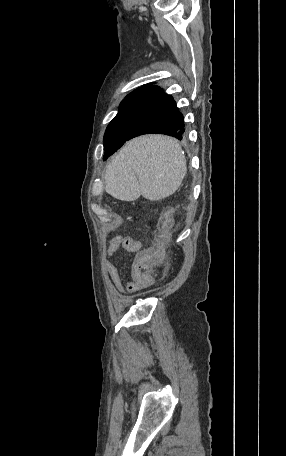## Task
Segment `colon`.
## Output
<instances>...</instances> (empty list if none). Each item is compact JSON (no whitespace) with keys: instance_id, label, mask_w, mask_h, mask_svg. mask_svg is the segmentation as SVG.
I'll return each instance as SVG.
<instances>
[{"instance_id":"obj_1","label":"colon","mask_w":286,"mask_h":456,"mask_svg":"<svg viewBox=\"0 0 286 456\" xmlns=\"http://www.w3.org/2000/svg\"><path fill=\"white\" fill-rule=\"evenodd\" d=\"M164 236L159 233L158 243L150 248L140 250L133 261L131 267V277L133 282L139 288H146L154 284L155 273L157 268H160L165 260V247H164Z\"/></svg>"}]
</instances>
